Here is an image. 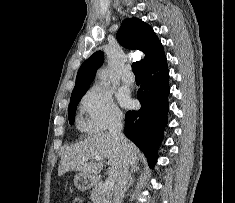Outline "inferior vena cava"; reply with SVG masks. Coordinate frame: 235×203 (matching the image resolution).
I'll use <instances>...</instances> for the list:
<instances>
[{"label":"inferior vena cava","instance_id":"obj_1","mask_svg":"<svg viewBox=\"0 0 235 203\" xmlns=\"http://www.w3.org/2000/svg\"><path fill=\"white\" fill-rule=\"evenodd\" d=\"M122 119L123 117L120 114H117L114 117L110 127V134L118 139V141L121 143L123 150L127 152L128 151L127 139L122 134V129H123ZM128 178H129V170H128V161L126 160L124 161L121 175L115 184L113 203H122L124 193L126 191V187L128 184Z\"/></svg>","mask_w":235,"mask_h":203}]
</instances>
